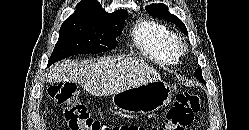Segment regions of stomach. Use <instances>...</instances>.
Returning <instances> with one entry per match:
<instances>
[{"mask_svg": "<svg viewBox=\"0 0 249 130\" xmlns=\"http://www.w3.org/2000/svg\"><path fill=\"white\" fill-rule=\"evenodd\" d=\"M172 95V87L160 79L113 94L112 103L125 113L150 114L167 106Z\"/></svg>", "mask_w": 249, "mask_h": 130, "instance_id": "obj_1", "label": "stomach"}]
</instances>
